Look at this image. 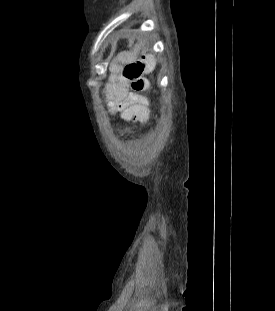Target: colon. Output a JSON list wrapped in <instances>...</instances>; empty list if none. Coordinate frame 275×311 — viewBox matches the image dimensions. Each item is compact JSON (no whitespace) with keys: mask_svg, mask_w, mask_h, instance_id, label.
Masks as SVG:
<instances>
[{"mask_svg":"<svg viewBox=\"0 0 275 311\" xmlns=\"http://www.w3.org/2000/svg\"><path fill=\"white\" fill-rule=\"evenodd\" d=\"M152 62L149 57H141L139 60L126 67V77L131 81L136 91H143L149 86L146 74L151 70Z\"/></svg>","mask_w":275,"mask_h":311,"instance_id":"colon-1","label":"colon"}]
</instances>
